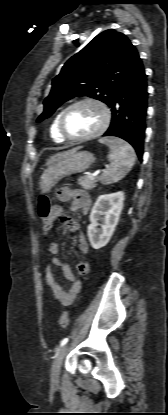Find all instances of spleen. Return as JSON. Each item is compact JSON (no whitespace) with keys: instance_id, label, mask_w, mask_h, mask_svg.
<instances>
[{"instance_id":"obj_1","label":"spleen","mask_w":168,"mask_h":415,"mask_svg":"<svg viewBox=\"0 0 168 415\" xmlns=\"http://www.w3.org/2000/svg\"><path fill=\"white\" fill-rule=\"evenodd\" d=\"M100 143L110 148L109 167L104 170L99 180L104 185H109L121 180L133 167L136 154L133 147L119 138H102Z\"/></svg>"}]
</instances>
